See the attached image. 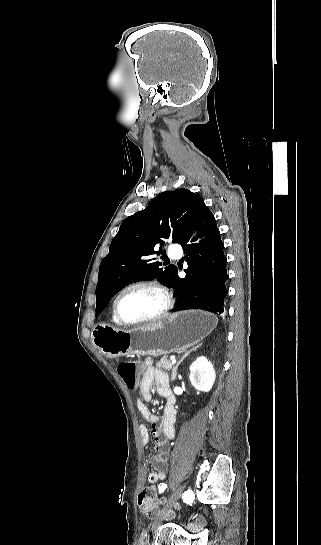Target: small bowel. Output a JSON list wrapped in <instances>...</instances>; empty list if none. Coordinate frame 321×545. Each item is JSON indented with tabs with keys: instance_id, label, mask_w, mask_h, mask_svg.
Here are the masks:
<instances>
[{
	"instance_id": "small-bowel-1",
	"label": "small bowel",
	"mask_w": 321,
	"mask_h": 545,
	"mask_svg": "<svg viewBox=\"0 0 321 545\" xmlns=\"http://www.w3.org/2000/svg\"><path fill=\"white\" fill-rule=\"evenodd\" d=\"M154 385L156 386L157 393L167 399L164 415L161 418L154 415L147 407V403L152 397ZM139 389L141 398L137 401V407L145 420L151 425L150 430L145 425H140L139 433L143 445L148 444L150 433L154 438V449L157 454L151 457V464L154 471L149 474L148 481L151 484H155L166 477L170 459L169 440L175 437L174 423L176 410L174 407V397L170 390L168 376L162 370L154 367L151 359L144 361V372Z\"/></svg>"
}]
</instances>
